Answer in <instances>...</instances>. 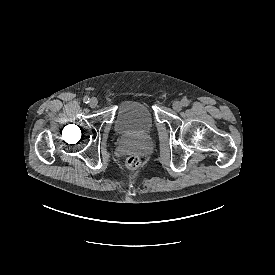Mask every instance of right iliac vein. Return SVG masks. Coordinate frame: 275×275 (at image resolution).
I'll return each mask as SVG.
<instances>
[{"label": "right iliac vein", "instance_id": "1", "mask_svg": "<svg viewBox=\"0 0 275 275\" xmlns=\"http://www.w3.org/2000/svg\"><path fill=\"white\" fill-rule=\"evenodd\" d=\"M91 108H95L98 105V100L96 98H92L89 103Z\"/></svg>", "mask_w": 275, "mask_h": 275}]
</instances>
